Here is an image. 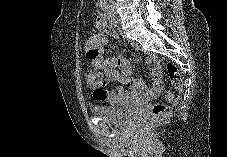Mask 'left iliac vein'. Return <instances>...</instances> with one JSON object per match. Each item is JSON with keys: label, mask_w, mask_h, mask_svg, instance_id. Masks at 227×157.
<instances>
[{"label": "left iliac vein", "mask_w": 227, "mask_h": 157, "mask_svg": "<svg viewBox=\"0 0 227 157\" xmlns=\"http://www.w3.org/2000/svg\"><path fill=\"white\" fill-rule=\"evenodd\" d=\"M119 32H120V33H122V29H121V27H120V26H119Z\"/></svg>", "instance_id": "4c4485c4"}]
</instances>
